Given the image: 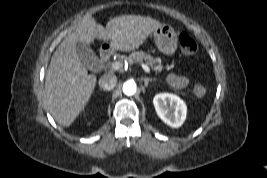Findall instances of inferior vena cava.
Listing matches in <instances>:
<instances>
[{
	"instance_id": "602c4592",
	"label": "inferior vena cava",
	"mask_w": 267,
	"mask_h": 178,
	"mask_svg": "<svg viewBox=\"0 0 267 178\" xmlns=\"http://www.w3.org/2000/svg\"><path fill=\"white\" fill-rule=\"evenodd\" d=\"M117 79L113 75H105L99 80V85L103 90L109 91L116 86Z\"/></svg>"
}]
</instances>
